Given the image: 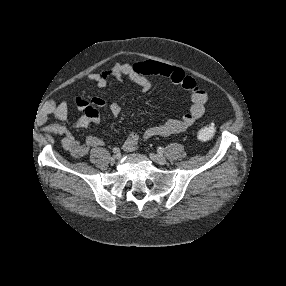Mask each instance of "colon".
<instances>
[{
	"mask_svg": "<svg viewBox=\"0 0 286 286\" xmlns=\"http://www.w3.org/2000/svg\"><path fill=\"white\" fill-rule=\"evenodd\" d=\"M216 133V125L213 123L207 124L200 128L197 132V137L199 140H209L211 139Z\"/></svg>",
	"mask_w": 286,
	"mask_h": 286,
	"instance_id": "obj_1",
	"label": "colon"
}]
</instances>
